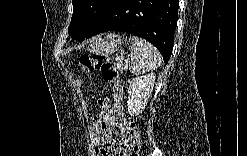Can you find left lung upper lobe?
I'll use <instances>...</instances> for the list:
<instances>
[{
  "label": "left lung upper lobe",
  "instance_id": "5c2ea615",
  "mask_svg": "<svg viewBox=\"0 0 247 156\" xmlns=\"http://www.w3.org/2000/svg\"><path fill=\"white\" fill-rule=\"evenodd\" d=\"M113 0H73V14L68 32L73 39L83 41L92 27L108 10Z\"/></svg>",
  "mask_w": 247,
  "mask_h": 156
}]
</instances>
